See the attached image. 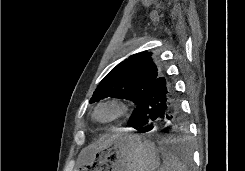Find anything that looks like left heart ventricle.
Wrapping results in <instances>:
<instances>
[{
    "mask_svg": "<svg viewBox=\"0 0 245 171\" xmlns=\"http://www.w3.org/2000/svg\"><path fill=\"white\" fill-rule=\"evenodd\" d=\"M115 114V109L112 107H104L99 110L98 117L100 119H108Z\"/></svg>",
    "mask_w": 245,
    "mask_h": 171,
    "instance_id": "obj_1",
    "label": "left heart ventricle"
}]
</instances>
